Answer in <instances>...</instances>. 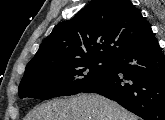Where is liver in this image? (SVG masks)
<instances>
[{"label":"liver","instance_id":"obj_1","mask_svg":"<svg viewBox=\"0 0 165 120\" xmlns=\"http://www.w3.org/2000/svg\"><path fill=\"white\" fill-rule=\"evenodd\" d=\"M27 120H138L116 102L98 94L55 99L35 108Z\"/></svg>","mask_w":165,"mask_h":120}]
</instances>
